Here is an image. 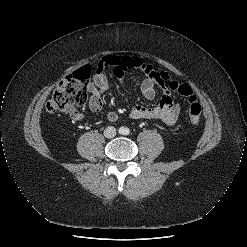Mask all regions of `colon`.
<instances>
[{"label":"colon","instance_id":"5ec220e1","mask_svg":"<svg viewBox=\"0 0 247 247\" xmlns=\"http://www.w3.org/2000/svg\"><path fill=\"white\" fill-rule=\"evenodd\" d=\"M90 73V68L84 66L63 79L47 101L46 110L49 113L77 112L86 103ZM168 87L171 92L187 100L189 122L193 126L198 125L201 121L202 108L190 86L173 81L168 84Z\"/></svg>","mask_w":247,"mask_h":247}]
</instances>
